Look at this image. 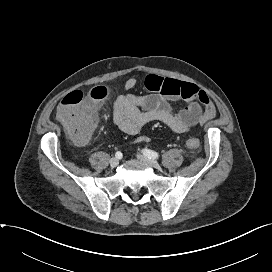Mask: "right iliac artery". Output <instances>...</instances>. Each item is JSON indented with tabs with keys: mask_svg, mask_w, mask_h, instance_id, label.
<instances>
[{
	"mask_svg": "<svg viewBox=\"0 0 272 272\" xmlns=\"http://www.w3.org/2000/svg\"><path fill=\"white\" fill-rule=\"evenodd\" d=\"M122 153L120 151H117L116 154H115V157L118 158V159H121L122 158Z\"/></svg>",
	"mask_w": 272,
	"mask_h": 272,
	"instance_id": "obj_1",
	"label": "right iliac artery"
}]
</instances>
